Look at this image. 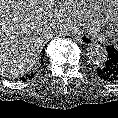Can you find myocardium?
<instances>
[{
    "instance_id": "obj_1",
    "label": "myocardium",
    "mask_w": 118,
    "mask_h": 118,
    "mask_svg": "<svg viewBox=\"0 0 118 118\" xmlns=\"http://www.w3.org/2000/svg\"><path fill=\"white\" fill-rule=\"evenodd\" d=\"M113 30L118 35V2L113 3Z\"/></svg>"
}]
</instances>
